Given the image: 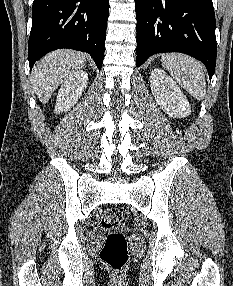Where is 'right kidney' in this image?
<instances>
[{
	"label": "right kidney",
	"instance_id": "ca27d5eb",
	"mask_svg": "<svg viewBox=\"0 0 233 286\" xmlns=\"http://www.w3.org/2000/svg\"><path fill=\"white\" fill-rule=\"evenodd\" d=\"M88 74L85 71H75L62 84L59 89L55 113L66 112L76 104L87 87Z\"/></svg>",
	"mask_w": 233,
	"mask_h": 286
}]
</instances>
